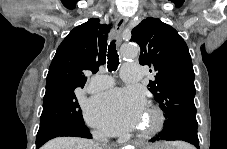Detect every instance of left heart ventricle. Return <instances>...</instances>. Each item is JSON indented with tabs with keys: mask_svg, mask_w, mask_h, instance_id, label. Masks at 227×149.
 I'll list each match as a JSON object with an SVG mask.
<instances>
[{
	"mask_svg": "<svg viewBox=\"0 0 227 149\" xmlns=\"http://www.w3.org/2000/svg\"><path fill=\"white\" fill-rule=\"evenodd\" d=\"M147 122H148V117H146V118L143 120V124H142V125H145Z\"/></svg>",
	"mask_w": 227,
	"mask_h": 149,
	"instance_id": "left-heart-ventricle-1",
	"label": "left heart ventricle"
}]
</instances>
